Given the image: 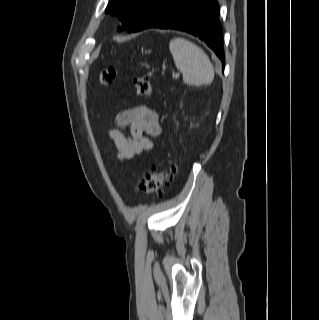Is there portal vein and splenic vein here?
<instances>
[{
    "label": "portal vein and splenic vein",
    "instance_id": "portal-vein-and-splenic-vein-1",
    "mask_svg": "<svg viewBox=\"0 0 319 320\" xmlns=\"http://www.w3.org/2000/svg\"><path fill=\"white\" fill-rule=\"evenodd\" d=\"M174 77H176V78L179 77V74H174Z\"/></svg>",
    "mask_w": 319,
    "mask_h": 320
}]
</instances>
